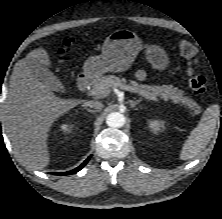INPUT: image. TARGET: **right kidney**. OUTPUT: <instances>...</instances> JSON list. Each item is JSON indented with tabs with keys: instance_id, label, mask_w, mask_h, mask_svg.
I'll list each match as a JSON object with an SVG mask.
<instances>
[{
	"instance_id": "1",
	"label": "right kidney",
	"mask_w": 222,
	"mask_h": 219,
	"mask_svg": "<svg viewBox=\"0 0 222 219\" xmlns=\"http://www.w3.org/2000/svg\"><path fill=\"white\" fill-rule=\"evenodd\" d=\"M72 127H73V125L63 124L61 126V129L63 130V132L69 133V132H71Z\"/></svg>"
}]
</instances>
